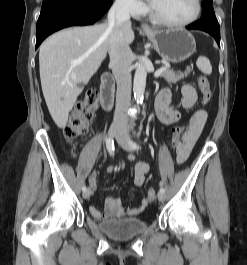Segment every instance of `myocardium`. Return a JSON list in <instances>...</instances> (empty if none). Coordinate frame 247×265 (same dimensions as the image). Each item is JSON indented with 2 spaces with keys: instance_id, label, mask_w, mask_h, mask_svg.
Here are the masks:
<instances>
[{
  "instance_id": "obj_1",
  "label": "myocardium",
  "mask_w": 247,
  "mask_h": 265,
  "mask_svg": "<svg viewBox=\"0 0 247 265\" xmlns=\"http://www.w3.org/2000/svg\"><path fill=\"white\" fill-rule=\"evenodd\" d=\"M195 12L194 14L187 20L185 21H181V22H175V21H171L168 20L166 18H164L163 16H161L159 13H157L154 8L151 5H148V13L150 15V17L158 24L166 26V27H170V28H183V27H187L193 23H195L201 13H202V2L201 0H195Z\"/></svg>"
}]
</instances>
